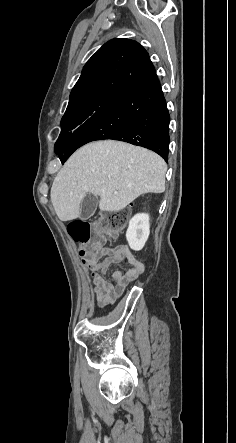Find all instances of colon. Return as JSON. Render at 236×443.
<instances>
[{
  "label": "colon",
  "mask_w": 236,
  "mask_h": 443,
  "mask_svg": "<svg viewBox=\"0 0 236 443\" xmlns=\"http://www.w3.org/2000/svg\"><path fill=\"white\" fill-rule=\"evenodd\" d=\"M127 224V215L114 213L107 218L90 223L84 219H74L68 223L70 237L82 246L80 256L83 261H93L100 256L102 244L116 238Z\"/></svg>",
  "instance_id": "obj_1"
}]
</instances>
